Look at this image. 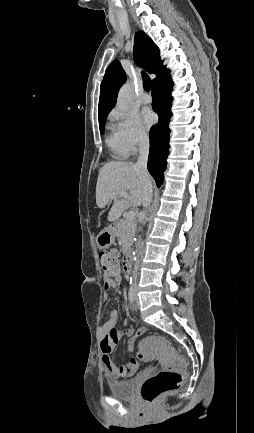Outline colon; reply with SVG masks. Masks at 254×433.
Listing matches in <instances>:
<instances>
[{"label": "colon", "mask_w": 254, "mask_h": 433, "mask_svg": "<svg viewBox=\"0 0 254 433\" xmlns=\"http://www.w3.org/2000/svg\"><path fill=\"white\" fill-rule=\"evenodd\" d=\"M99 259L107 276L116 277L119 275V257L116 250L111 249L101 252L99 254ZM140 332L142 334L144 333L142 330H140ZM152 347H157L167 354L169 365L143 383L141 387V396L147 403H154L164 394L182 387L184 383L183 374L186 369V363L184 360L171 351L168 342L164 337L153 336L149 338L142 345L143 352L140 356L144 358V352Z\"/></svg>", "instance_id": "5ec220e1"}]
</instances>
